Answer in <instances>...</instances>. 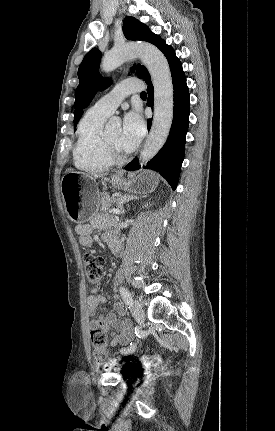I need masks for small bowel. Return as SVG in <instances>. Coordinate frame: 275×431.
<instances>
[{"label":"small bowel","instance_id":"c3829d8e","mask_svg":"<svg viewBox=\"0 0 275 431\" xmlns=\"http://www.w3.org/2000/svg\"><path fill=\"white\" fill-rule=\"evenodd\" d=\"M95 228H100L102 230L103 240L108 243L116 254H119L121 252V244L113 236L109 223L101 218H96L89 224H81L76 227L80 244L83 246L91 245V234ZM87 304L88 315L92 317L89 322V328L91 330L101 329L110 333L112 346L126 345L131 341V324L128 320L120 319V316L124 313L123 307L120 304H116L113 311L100 314L97 318H94L98 309L106 304V299L99 293L98 289H94L88 296Z\"/></svg>","mask_w":275,"mask_h":431}]
</instances>
